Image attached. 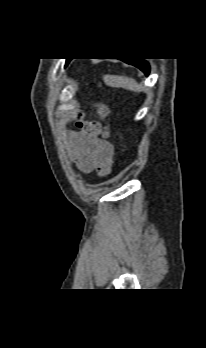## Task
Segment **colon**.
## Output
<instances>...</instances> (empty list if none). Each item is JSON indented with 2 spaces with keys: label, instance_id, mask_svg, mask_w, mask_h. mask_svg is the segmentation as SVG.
<instances>
[{
  "label": "colon",
  "instance_id": "obj_1",
  "mask_svg": "<svg viewBox=\"0 0 206 348\" xmlns=\"http://www.w3.org/2000/svg\"><path fill=\"white\" fill-rule=\"evenodd\" d=\"M97 110L98 113L101 116H105L108 112V109L105 105L103 104H98L97 105ZM77 126L85 130L87 133L92 134V135H102L103 137H107L109 135V128L106 125H100L97 123H88L83 119L82 116L78 118L77 121Z\"/></svg>",
  "mask_w": 206,
  "mask_h": 348
}]
</instances>
